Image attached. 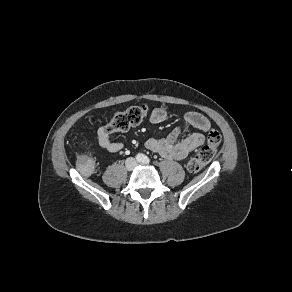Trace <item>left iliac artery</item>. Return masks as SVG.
Segmentation results:
<instances>
[{
  "mask_svg": "<svg viewBox=\"0 0 292 292\" xmlns=\"http://www.w3.org/2000/svg\"><path fill=\"white\" fill-rule=\"evenodd\" d=\"M150 162V159L147 156L143 157V163L148 164Z\"/></svg>",
  "mask_w": 292,
  "mask_h": 292,
  "instance_id": "1",
  "label": "left iliac artery"
}]
</instances>
